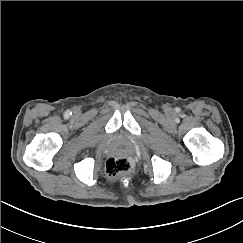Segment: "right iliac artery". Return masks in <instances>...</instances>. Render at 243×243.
<instances>
[{
	"label": "right iliac artery",
	"instance_id": "1",
	"mask_svg": "<svg viewBox=\"0 0 243 243\" xmlns=\"http://www.w3.org/2000/svg\"><path fill=\"white\" fill-rule=\"evenodd\" d=\"M72 114V112H70V110H67L66 112H65V117H68L69 115H71Z\"/></svg>",
	"mask_w": 243,
	"mask_h": 243
}]
</instances>
